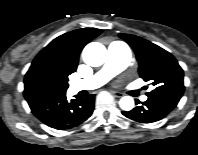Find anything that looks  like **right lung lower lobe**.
Here are the masks:
<instances>
[{"instance_id":"right-lung-lower-lobe-1","label":"right lung lower lobe","mask_w":198,"mask_h":155,"mask_svg":"<svg viewBox=\"0 0 198 155\" xmlns=\"http://www.w3.org/2000/svg\"><path fill=\"white\" fill-rule=\"evenodd\" d=\"M94 95L68 101L66 93L43 95L28 102L33 114L46 125L65 130L87 120L94 110Z\"/></svg>"}]
</instances>
